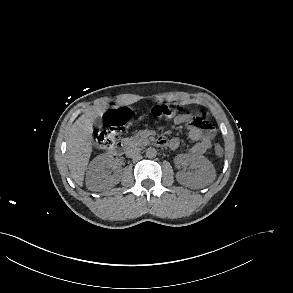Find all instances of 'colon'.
Listing matches in <instances>:
<instances>
[{"label":"colon","instance_id":"colon-1","mask_svg":"<svg viewBox=\"0 0 293 293\" xmlns=\"http://www.w3.org/2000/svg\"><path fill=\"white\" fill-rule=\"evenodd\" d=\"M180 110L179 106L156 105L152 109V114L160 120H166L174 117ZM195 114L199 117L200 121H206L207 114L205 111L200 110ZM128 117L129 112L125 108L107 111L104 118L106 126L97 128L94 132L96 148L101 150L111 148ZM214 153L217 157H221L223 155V148L220 145H216Z\"/></svg>","mask_w":293,"mask_h":293}]
</instances>
